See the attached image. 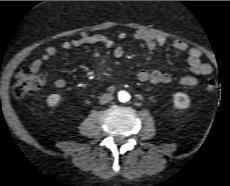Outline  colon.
Returning a JSON list of instances; mask_svg holds the SVG:
<instances>
[{
  "mask_svg": "<svg viewBox=\"0 0 230 186\" xmlns=\"http://www.w3.org/2000/svg\"><path fill=\"white\" fill-rule=\"evenodd\" d=\"M47 82V75L39 71H33L31 68H24L17 73L12 86L14 96L18 98L33 94L42 89ZM206 90L213 92L217 88V82L214 79L206 81Z\"/></svg>",
  "mask_w": 230,
  "mask_h": 186,
  "instance_id": "colon-1",
  "label": "colon"
}]
</instances>
